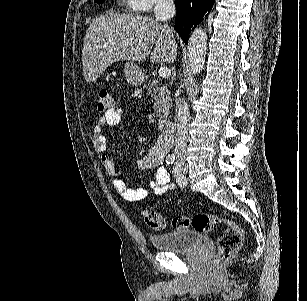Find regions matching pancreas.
Returning <instances> with one entry per match:
<instances>
[{
	"mask_svg": "<svg viewBox=\"0 0 307 301\" xmlns=\"http://www.w3.org/2000/svg\"><path fill=\"white\" fill-rule=\"evenodd\" d=\"M149 94H152L153 102V116H162L165 112H170L172 106V98H170V90L163 80H155L150 78L147 84H144Z\"/></svg>",
	"mask_w": 307,
	"mask_h": 301,
	"instance_id": "obj_1",
	"label": "pancreas"
}]
</instances>
